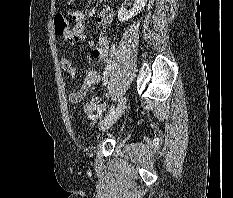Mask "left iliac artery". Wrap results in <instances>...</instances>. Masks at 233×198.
Instances as JSON below:
<instances>
[{"instance_id": "44dca946", "label": "left iliac artery", "mask_w": 233, "mask_h": 198, "mask_svg": "<svg viewBox=\"0 0 233 198\" xmlns=\"http://www.w3.org/2000/svg\"><path fill=\"white\" fill-rule=\"evenodd\" d=\"M113 111H114V106L111 105L110 111L108 112V114L105 116L104 119L108 118L113 113Z\"/></svg>"}]
</instances>
